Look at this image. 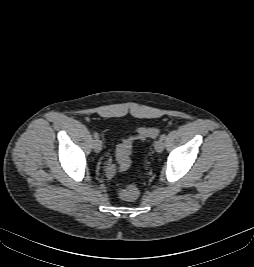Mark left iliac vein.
Segmentation results:
<instances>
[{"label":"left iliac vein","mask_w":254,"mask_h":267,"mask_svg":"<svg viewBox=\"0 0 254 267\" xmlns=\"http://www.w3.org/2000/svg\"><path fill=\"white\" fill-rule=\"evenodd\" d=\"M154 148L157 152H162L164 149V141L162 139H159L155 142Z\"/></svg>","instance_id":"1"}]
</instances>
